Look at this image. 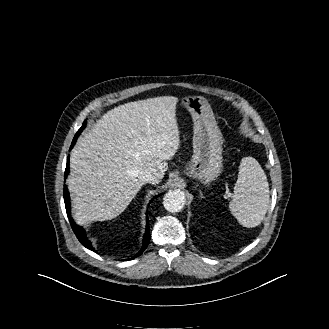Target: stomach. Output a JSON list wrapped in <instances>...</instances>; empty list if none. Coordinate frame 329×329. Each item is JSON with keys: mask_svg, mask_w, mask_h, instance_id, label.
<instances>
[{"mask_svg": "<svg viewBox=\"0 0 329 329\" xmlns=\"http://www.w3.org/2000/svg\"><path fill=\"white\" fill-rule=\"evenodd\" d=\"M182 104L190 112L194 123L193 156L186 167V174L209 185L222 171V133L207 99L188 96Z\"/></svg>", "mask_w": 329, "mask_h": 329, "instance_id": "0dacf381", "label": "stomach"}]
</instances>
